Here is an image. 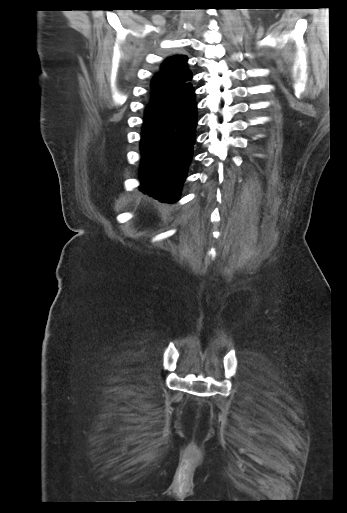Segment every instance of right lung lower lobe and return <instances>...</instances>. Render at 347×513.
Masks as SVG:
<instances>
[{
  "label": "right lung lower lobe",
  "mask_w": 347,
  "mask_h": 513,
  "mask_svg": "<svg viewBox=\"0 0 347 513\" xmlns=\"http://www.w3.org/2000/svg\"><path fill=\"white\" fill-rule=\"evenodd\" d=\"M192 85L154 97L145 110L140 189L162 202L177 200L192 159L197 103Z\"/></svg>",
  "instance_id": "1"
}]
</instances>
